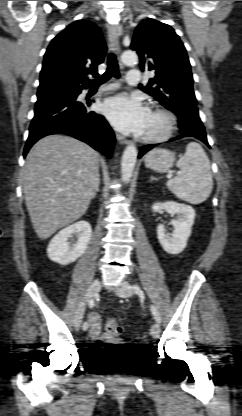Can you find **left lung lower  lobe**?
<instances>
[{
    "label": "left lung lower lobe",
    "instance_id": "1",
    "mask_svg": "<svg viewBox=\"0 0 242 416\" xmlns=\"http://www.w3.org/2000/svg\"><path fill=\"white\" fill-rule=\"evenodd\" d=\"M179 127L181 129H183V132H182L183 134H181V135H179V136H177L175 138H172L169 141H175V140L180 139V138H183V137H195L198 140H200L203 143H205L208 147H210L209 144H208V142H207L206 133L199 132L197 130V128L193 124H190V125H180ZM155 146H157V144H154V145H145V146L141 147V151H140L138 157L140 158L141 156H143L146 152H148L149 150H151Z\"/></svg>",
    "mask_w": 242,
    "mask_h": 416
}]
</instances>
